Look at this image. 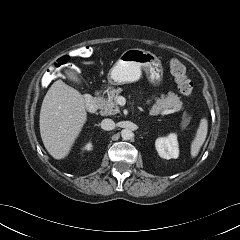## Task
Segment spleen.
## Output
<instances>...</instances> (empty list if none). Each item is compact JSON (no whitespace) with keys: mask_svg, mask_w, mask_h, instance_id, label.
Here are the masks:
<instances>
[{"mask_svg":"<svg viewBox=\"0 0 240 240\" xmlns=\"http://www.w3.org/2000/svg\"><path fill=\"white\" fill-rule=\"evenodd\" d=\"M207 132H208V121L206 118H202L200 120V124L197 129L196 135L191 143L190 153L193 158H195L198 155L200 148L205 142Z\"/></svg>","mask_w":240,"mask_h":240,"instance_id":"obj_1","label":"spleen"}]
</instances>
